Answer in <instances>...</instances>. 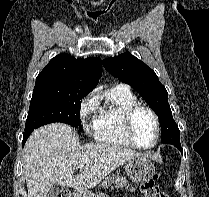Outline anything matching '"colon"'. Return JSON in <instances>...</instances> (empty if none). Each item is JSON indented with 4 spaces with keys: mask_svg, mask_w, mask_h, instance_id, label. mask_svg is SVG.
Returning <instances> with one entry per match:
<instances>
[{
    "mask_svg": "<svg viewBox=\"0 0 209 197\" xmlns=\"http://www.w3.org/2000/svg\"><path fill=\"white\" fill-rule=\"evenodd\" d=\"M157 175L141 186L144 197H168L157 185ZM58 197H71L68 191H62Z\"/></svg>",
    "mask_w": 209,
    "mask_h": 197,
    "instance_id": "5ec220e1",
    "label": "colon"
}]
</instances>
